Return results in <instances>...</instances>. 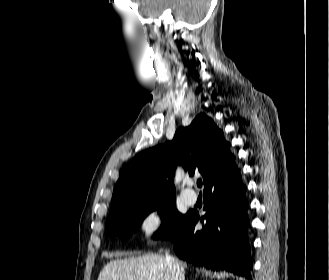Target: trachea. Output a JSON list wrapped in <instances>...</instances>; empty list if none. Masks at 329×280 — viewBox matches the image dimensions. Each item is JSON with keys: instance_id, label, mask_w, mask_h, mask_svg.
<instances>
[{"instance_id": "1", "label": "trachea", "mask_w": 329, "mask_h": 280, "mask_svg": "<svg viewBox=\"0 0 329 280\" xmlns=\"http://www.w3.org/2000/svg\"><path fill=\"white\" fill-rule=\"evenodd\" d=\"M197 186H198L199 188L202 187V180H201V179H199V180L197 181Z\"/></svg>"}]
</instances>
